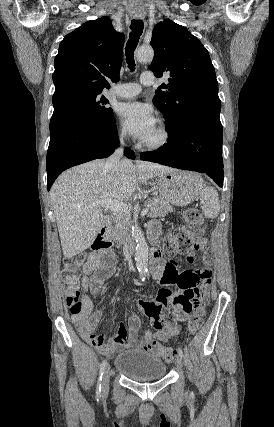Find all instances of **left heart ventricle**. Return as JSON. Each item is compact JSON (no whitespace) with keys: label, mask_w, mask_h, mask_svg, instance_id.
<instances>
[{"label":"left heart ventricle","mask_w":274,"mask_h":427,"mask_svg":"<svg viewBox=\"0 0 274 427\" xmlns=\"http://www.w3.org/2000/svg\"><path fill=\"white\" fill-rule=\"evenodd\" d=\"M161 137H162V132L158 124H156L155 128L151 131V133L147 137L142 139V142L157 143L160 141Z\"/></svg>","instance_id":"left-heart-ventricle-1"}]
</instances>
